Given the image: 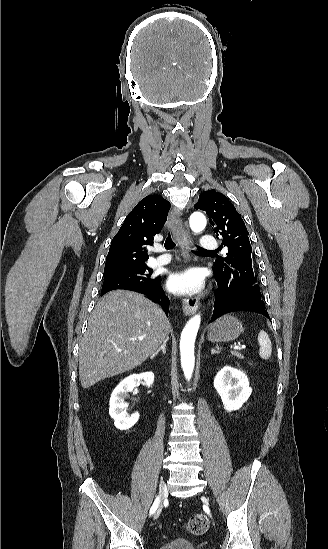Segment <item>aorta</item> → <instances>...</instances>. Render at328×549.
Listing matches in <instances>:
<instances>
[{
	"label": "aorta",
	"instance_id": "1",
	"mask_svg": "<svg viewBox=\"0 0 328 549\" xmlns=\"http://www.w3.org/2000/svg\"><path fill=\"white\" fill-rule=\"evenodd\" d=\"M190 227L193 232L199 233L206 227V218L201 212H194L190 216ZM201 323L200 315L192 317L185 325L180 339L181 366L184 376L190 380L195 365L194 344Z\"/></svg>",
	"mask_w": 328,
	"mask_h": 549
}]
</instances>
